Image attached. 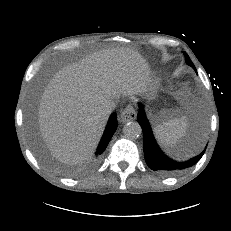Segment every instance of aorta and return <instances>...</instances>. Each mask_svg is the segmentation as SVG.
I'll return each instance as SVG.
<instances>
[{
  "label": "aorta",
  "mask_w": 231,
  "mask_h": 231,
  "mask_svg": "<svg viewBox=\"0 0 231 231\" xmlns=\"http://www.w3.org/2000/svg\"><path fill=\"white\" fill-rule=\"evenodd\" d=\"M123 133L126 138L134 140L142 134V128L138 122H128L124 125Z\"/></svg>",
  "instance_id": "762f6f07"
}]
</instances>
